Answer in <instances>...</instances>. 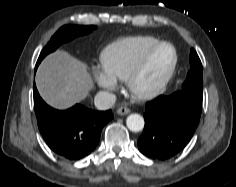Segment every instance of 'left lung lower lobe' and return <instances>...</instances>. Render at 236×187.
Listing matches in <instances>:
<instances>
[{
  "mask_svg": "<svg viewBox=\"0 0 236 187\" xmlns=\"http://www.w3.org/2000/svg\"><path fill=\"white\" fill-rule=\"evenodd\" d=\"M201 110V101L181 91L148 102L144 131L138 139L140 152L158 160L176 155L192 138Z\"/></svg>",
  "mask_w": 236,
  "mask_h": 187,
  "instance_id": "1",
  "label": "left lung lower lobe"
}]
</instances>
